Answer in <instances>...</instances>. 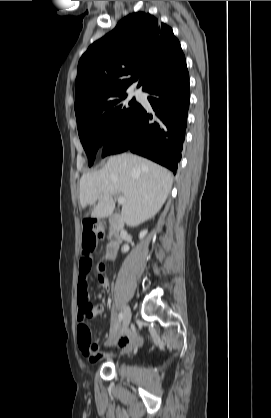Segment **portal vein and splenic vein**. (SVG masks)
Returning <instances> with one entry per match:
<instances>
[{
  "instance_id": "18ae733b",
  "label": "portal vein and splenic vein",
  "mask_w": 271,
  "mask_h": 418,
  "mask_svg": "<svg viewBox=\"0 0 271 418\" xmlns=\"http://www.w3.org/2000/svg\"><path fill=\"white\" fill-rule=\"evenodd\" d=\"M118 203H119V204H121V205H123V204H125V203H126V199H125L124 197L120 196V197L118 198Z\"/></svg>"
}]
</instances>
